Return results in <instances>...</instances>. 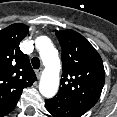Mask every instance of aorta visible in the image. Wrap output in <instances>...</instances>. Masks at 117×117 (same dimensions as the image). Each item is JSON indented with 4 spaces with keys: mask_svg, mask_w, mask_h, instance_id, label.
<instances>
[{
    "mask_svg": "<svg viewBox=\"0 0 117 117\" xmlns=\"http://www.w3.org/2000/svg\"><path fill=\"white\" fill-rule=\"evenodd\" d=\"M35 44L45 66L39 83V91L44 97L52 98L57 93L60 82L61 65L58 51L46 36L38 37Z\"/></svg>",
    "mask_w": 117,
    "mask_h": 117,
    "instance_id": "aorta-1",
    "label": "aorta"
}]
</instances>
